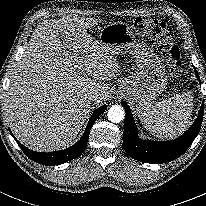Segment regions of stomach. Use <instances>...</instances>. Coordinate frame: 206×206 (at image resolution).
<instances>
[{"label": "stomach", "mask_w": 206, "mask_h": 206, "mask_svg": "<svg viewBox=\"0 0 206 206\" xmlns=\"http://www.w3.org/2000/svg\"><path fill=\"white\" fill-rule=\"evenodd\" d=\"M99 42L113 55L132 54L136 60V71L118 88L117 94L126 97L142 111L165 89L167 75L165 67L154 51L131 33L122 22H113L101 29Z\"/></svg>", "instance_id": "0dacf381"}]
</instances>
